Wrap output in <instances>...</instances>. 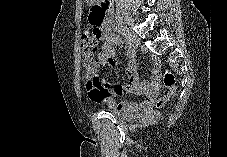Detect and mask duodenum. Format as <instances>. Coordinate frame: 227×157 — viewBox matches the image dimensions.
<instances>
[{
	"mask_svg": "<svg viewBox=\"0 0 227 157\" xmlns=\"http://www.w3.org/2000/svg\"><path fill=\"white\" fill-rule=\"evenodd\" d=\"M112 0H99L98 4H93V9H98V16H89L90 25H97L95 32H110L107 21V14L111 8Z\"/></svg>",
	"mask_w": 227,
	"mask_h": 157,
	"instance_id": "obj_1",
	"label": "duodenum"
}]
</instances>
